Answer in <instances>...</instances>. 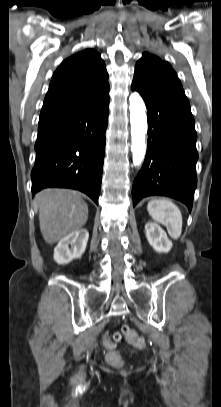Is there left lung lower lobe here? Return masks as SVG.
<instances>
[{"label":"left lung lower lobe","mask_w":221,"mask_h":407,"mask_svg":"<svg viewBox=\"0 0 221 407\" xmlns=\"http://www.w3.org/2000/svg\"><path fill=\"white\" fill-rule=\"evenodd\" d=\"M148 113L147 153L132 188L133 206L152 195L174 198L192 209L197 185V134L184 91L149 93L132 85Z\"/></svg>","instance_id":"1"}]
</instances>
